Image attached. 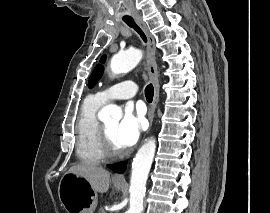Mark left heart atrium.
I'll return each mask as SVG.
<instances>
[{
    "label": "left heart atrium",
    "instance_id": "39dd6f15",
    "mask_svg": "<svg viewBox=\"0 0 270 213\" xmlns=\"http://www.w3.org/2000/svg\"><path fill=\"white\" fill-rule=\"evenodd\" d=\"M144 128V119L132 109L126 108L116 129V140L122 149L132 147Z\"/></svg>",
    "mask_w": 270,
    "mask_h": 213
}]
</instances>
